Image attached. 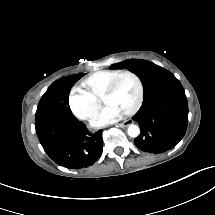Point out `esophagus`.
Here are the masks:
<instances>
[{"label": "esophagus", "mask_w": 215, "mask_h": 215, "mask_svg": "<svg viewBox=\"0 0 215 215\" xmlns=\"http://www.w3.org/2000/svg\"><path fill=\"white\" fill-rule=\"evenodd\" d=\"M133 122H134V121H133L132 119H128V120H126V121L120 123L119 126H120L121 128H124V127H127V126L133 124Z\"/></svg>", "instance_id": "1"}]
</instances>
